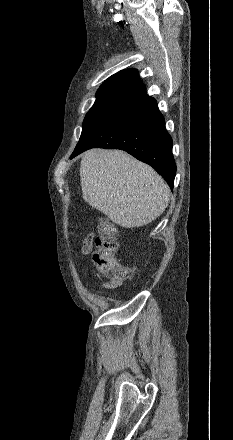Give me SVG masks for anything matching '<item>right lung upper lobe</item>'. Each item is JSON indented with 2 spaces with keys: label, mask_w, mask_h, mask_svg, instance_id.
Instances as JSON below:
<instances>
[{
  "label": "right lung upper lobe",
  "mask_w": 233,
  "mask_h": 440,
  "mask_svg": "<svg viewBox=\"0 0 233 440\" xmlns=\"http://www.w3.org/2000/svg\"><path fill=\"white\" fill-rule=\"evenodd\" d=\"M145 86L136 69H127L109 77L98 89L95 103L111 102L126 105L145 95Z\"/></svg>",
  "instance_id": "obj_1"
}]
</instances>
